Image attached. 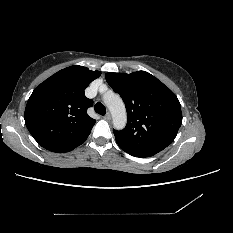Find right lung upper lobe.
Listing matches in <instances>:
<instances>
[{
    "mask_svg": "<svg viewBox=\"0 0 233 233\" xmlns=\"http://www.w3.org/2000/svg\"><path fill=\"white\" fill-rule=\"evenodd\" d=\"M100 74L74 65L58 71L35 88L24 118L39 145L51 152L64 153L86 141L96 121L87 114L93 101L85 96L84 90Z\"/></svg>",
    "mask_w": 233,
    "mask_h": 233,
    "instance_id": "right-lung-upper-lobe-1",
    "label": "right lung upper lobe"
}]
</instances>
